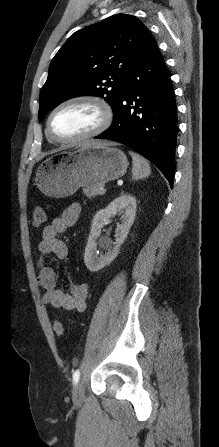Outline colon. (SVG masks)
I'll return each mask as SVG.
<instances>
[{
  "instance_id": "colon-1",
  "label": "colon",
  "mask_w": 219,
  "mask_h": 447,
  "mask_svg": "<svg viewBox=\"0 0 219 447\" xmlns=\"http://www.w3.org/2000/svg\"><path fill=\"white\" fill-rule=\"evenodd\" d=\"M47 217L44 210L40 207H36L33 212V224L36 227L43 226L46 223ZM53 330L56 335L61 336L64 333L63 323L59 320L54 321Z\"/></svg>"
}]
</instances>
